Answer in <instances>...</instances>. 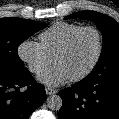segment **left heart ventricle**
<instances>
[{
    "label": "left heart ventricle",
    "instance_id": "obj_1",
    "mask_svg": "<svg viewBox=\"0 0 119 119\" xmlns=\"http://www.w3.org/2000/svg\"><path fill=\"white\" fill-rule=\"evenodd\" d=\"M98 50V39L94 32L82 33L71 49L59 57L55 64L62 67L70 78L84 72L94 60Z\"/></svg>",
    "mask_w": 119,
    "mask_h": 119
}]
</instances>
